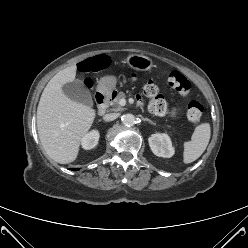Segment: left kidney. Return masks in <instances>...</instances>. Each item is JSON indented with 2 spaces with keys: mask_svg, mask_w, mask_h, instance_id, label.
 <instances>
[{
  "mask_svg": "<svg viewBox=\"0 0 248 248\" xmlns=\"http://www.w3.org/2000/svg\"><path fill=\"white\" fill-rule=\"evenodd\" d=\"M148 142L152 152L156 156L170 158L175 153L171 139L165 133L152 134L148 138Z\"/></svg>",
  "mask_w": 248,
  "mask_h": 248,
  "instance_id": "5707ae66",
  "label": "left kidney"
}]
</instances>
